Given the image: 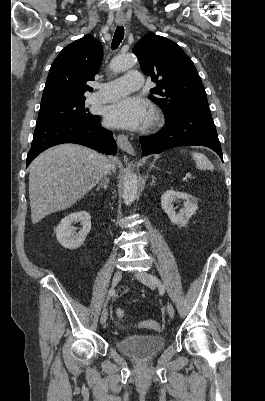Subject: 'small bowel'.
I'll list each match as a JSON object with an SVG mask.
<instances>
[{
	"instance_id": "c3829d8e",
	"label": "small bowel",
	"mask_w": 265,
	"mask_h": 401,
	"mask_svg": "<svg viewBox=\"0 0 265 401\" xmlns=\"http://www.w3.org/2000/svg\"><path fill=\"white\" fill-rule=\"evenodd\" d=\"M124 293H125V290L122 289V290L119 292V295H123Z\"/></svg>"
}]
</instances>
